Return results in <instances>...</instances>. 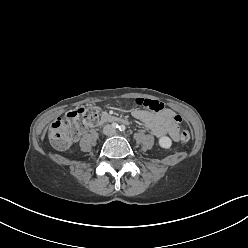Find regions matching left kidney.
<instances>
[{
	"mask_svg": "<svg viewBox=\"0 0 248 248\" xmlns=\"http://www.w3.org/2000/svg\"><path fill=\"white\" fill-rule=\"evenodd\" d=\"M159 145L162 147V148H165V149H168L171 147L172 145V141L169 137L167 136H163L159 139Z\"/></svg>",
	"mask_w": 248,
	"mask_h": 248,
	"instance_id": "obj_1",
	"label": "left kidney"
}]
</instances>
